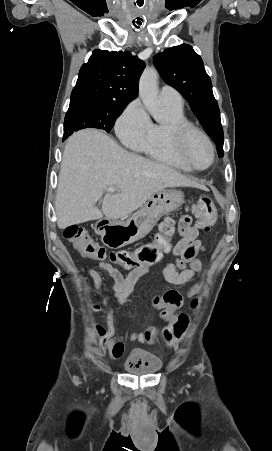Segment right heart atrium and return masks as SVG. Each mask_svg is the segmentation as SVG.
<instances>
[{
	"instance_id": "obj_1",
	"label": "right heart atrium",
	"mask_w": 272,
	"mask_h": 451,
	"mask_svg": "<svg viewBox=\"0 0 272 451\" xmlns=\"http://www.w3.org/2000/svg\"><path fill=\"white\" fill-rule=\"evenodd\" d=\"M151 120L139 101H133L124 110L116 123L118 135L128 144L143 142L151 128Z\"/></svg>"
}]
</instances>
